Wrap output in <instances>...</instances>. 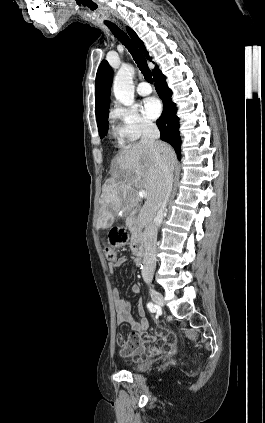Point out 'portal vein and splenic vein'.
<instances>
[{"label":"portal vein and splenic vein","instance_id":"18ae733b","mask_svg":"<svg viewBox=\"0 0 265 423\" xmlns=\"http://www.w3.org/2000/svg\"><path fill=\"white\" fill-rule=\"evenodd\" d=\"M139 196H140V198H146V197H147V193H146V191H144V190H140V191H139Z\"/></svg>","mask_w":265,"mask_h":423}]
</instances>
